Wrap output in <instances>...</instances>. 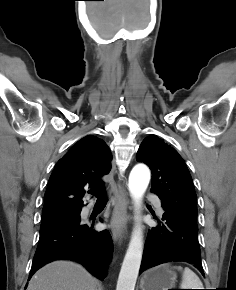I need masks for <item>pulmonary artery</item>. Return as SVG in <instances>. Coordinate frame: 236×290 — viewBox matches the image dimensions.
I'll return each instance as SVG.
<instances>
[{"label":"pulmonary artery","mask_w":236,"mask_h":290,"mask_svg":"<svg viewBox=\"0 0 236 290\" xmlns=\"http://www.w3.org/2000/svg\"><path fill=\"white\" fill-rule=\"evenodd\" d=\"M147 198H148V199H154V195L149 194V195L147 196ZM154 204H155V207H156V209H157V212H158L159 214H162V213H163V209H162V204H161V202L158 201V200H156V201L154 202Z\"/></svg>","instance_id":"obj_1"}]
</instances>
